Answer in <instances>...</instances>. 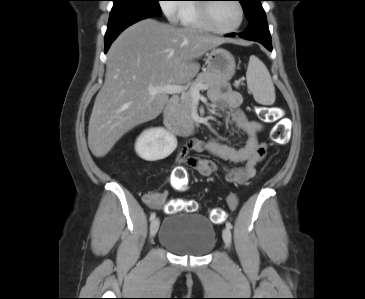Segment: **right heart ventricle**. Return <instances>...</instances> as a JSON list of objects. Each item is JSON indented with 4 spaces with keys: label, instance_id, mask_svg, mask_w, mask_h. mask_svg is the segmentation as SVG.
Listing matches in <instances>:
<instances>
[{
    "label": "right heart ventricle",
    "instance_id": "obj_1",
    "mask_svg": "<svg viewBox=\"0 0 365 299\" xmlns=\"http://www.w3.org/2000/svg\"><path fill=\"white\" fill-rule=\"evenodd\" d=\"M192 1V0H191ZM180 22L183 26L207 30L201 20L199 5L197 4H183Z\"/></svg>",
    "mask_w": 365,
    "mask_h": 299
}]
</instances>
